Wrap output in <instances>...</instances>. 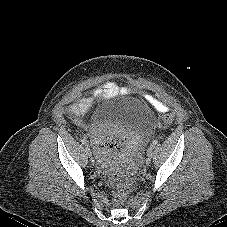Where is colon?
Wrapping results in <instances>:
<instances>
[{
	"label": "colon",
	"instance_id": "5ec220e1",
	"mask_svg": "<svg viewBox=\"0 0 227 227\" xmlns=\"http://www.w3.org/2000/svg\"><path fill=\"white\" fill-rule=\"evenodd\" d=\"M173 121L171 115H166L162 118L159 125L160 127H167ZM135 182V173L134 171H125L115 173L110 181V184L113 188V202L115 205H121L129 192L131 191Z\"/></svg>",
	"mask_w": 227,
	"mask_h": 227
}]
</instances>
